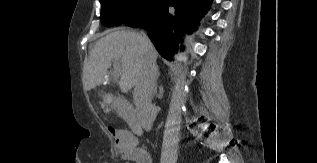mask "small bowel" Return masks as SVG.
I'll use <instances>...</instances> for the list:
<instances>
[{
    "instance_id": "obj_1",
    "label": "small bowel",
    "mask_w": 317,
    "mask_h": 163,
    "mask_svg": "<svg viewBox=\"0 0 317 163\" xmlns=\"http://www.w3.org/2000/svg\"><path fill=\"white\" fill-rule=\"evenodd\" d=\"M118 139L122 143V154L124 159L128 161L126 163H152V158L146 151L141 155L136 152L132 138L129 135L122 133Z\"/></svg>"
}]
</instances>
